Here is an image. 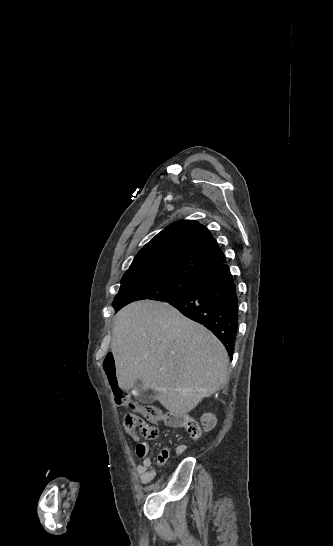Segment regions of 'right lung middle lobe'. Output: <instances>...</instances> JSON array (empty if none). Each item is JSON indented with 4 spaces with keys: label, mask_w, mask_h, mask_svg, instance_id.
<instances>
[{
    "label": "right lung middle lobe",
    "mask_w": 333,
    "mask_h": 546,
    "mask_svg": "<svg viewBox=\"0 0 333 546\" xmlns=\"http://www.w3.org/2000/svg\"><path fill=\"white\" fill-rule=\"evenodd\" d=\"M200 279L189 278L169 272H150L124 275L118 294L114 298L115 311L142 299L164 301L187 293L195 288Z\"/></svg>",
    "instance_id": "1"
}]
</instances>
